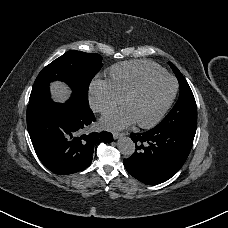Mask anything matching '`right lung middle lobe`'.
<instances>
[{
    "label": "right lung middle lobe",
    "mask_w": 228,
    "mask_h": 228,
    "mask_svg": "<svg viewBox=\"0 0 228 228\" xmlns=\"http://www.w3.org/2000/svg\"><path fill=\"white\" fill-rule=\"evenodd\" d=\"M96 53L71 50L51 62L38 75L33 85L29 104L50 99L49 83L61 80L72 89L70 102L77 110H90L88 88L92 78L103 66Z\"/></svg>",
    "instance_id": "right-lung-middle-lobe-1"
}]
</instances>
